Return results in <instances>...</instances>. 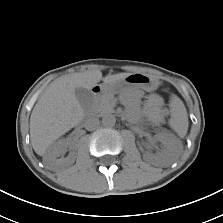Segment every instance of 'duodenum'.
<instances>
[{"label":"duodenum","mask_w":223,"mask_h":223,"mask_svg":"<svg viewBox=\"0 0 223 223\" xmlns=\"http://www.w3.org/2000/svg\"><path fill=\"white\" fill-rule=\"evenodd\" d=\"M101 93H102V89H101L100 86H95V87H93V94H94L95 96H99Z\"/></svg>","instance_id":"410a0bca"}]
</instances>
